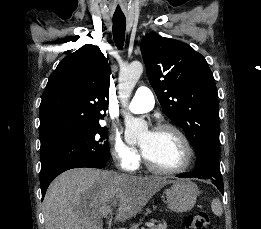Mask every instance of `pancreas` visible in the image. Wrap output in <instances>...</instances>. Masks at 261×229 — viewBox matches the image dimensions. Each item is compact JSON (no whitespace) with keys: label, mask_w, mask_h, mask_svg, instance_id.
<instances>
[{"label":"pancreas","mask_w":261,"mask_h":229,"mask_svg":"<svg viewBox=\"0 0 261 229\" xmlns=\"http://www.w3.org/2000/svg\"><path fill=\"white\" fill-rule=\"evenodd\" d=\"M152 229H166V223H164V225L160 223V225H156V227H152Z\"/></svg>","instance_id":"cf45deb5"}]
</instances>
